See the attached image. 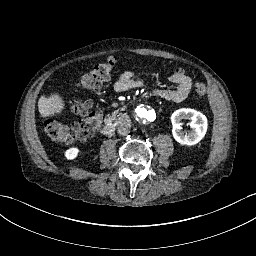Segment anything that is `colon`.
<instances>
[{"instance_id":"colon-1","label":"colon","mask_w":256,"mask_h":256,"mask_svg":"<svg viewBox=\"0 0 256 256\" xmlns=\"http://www.w3.org/2000/svg\"><path fill=\"white\" fill-rule=\"evenodd\" d=\"M114 66L115 62L112 58L95 64L91 70L83 75L78 88L95 89L100 87L110 79ZM175 73L181 76L184 74V70L178 68ZM194 93L199 98L204 97L207 93L206 84L199 77L194 78ZM71 110L73 113L81 116V119L71 125H66L51 118L45 119V133L53 141L61 143L82 141L100 126L101 116L94 110L91 103L78 100L72 105Z\"/></svg>"}]
</instances>
